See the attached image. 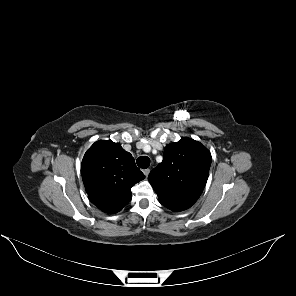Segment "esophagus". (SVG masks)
<instances>
[{
  "mask_svg": "<svg viewBox=\"0 0 296 296\" xmlns=\"http://www.w3.org/2000/svg\"><path fill=\"white\" fill-rule=\"evenodd\" d=\"M149 173H150V169H145L144 170V174H145L146 178L148 177Z\"/></svg>",
  "mask_w": 296,
  "mask_h": 296,
  "instance_id": "obj_1",
  "label": "esophagus"
}]
</instances>
